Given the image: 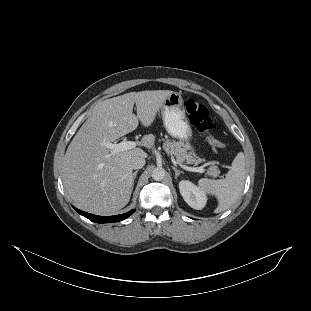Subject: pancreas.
<instances>
[{
	"mask_svg": "<svg viewBox=\"0 0 311 311\" xmlns=\"http://www.w3.org/2000/svg\"><path fill=\"white\" fill-rule=\"evenodd\" d=\"M163 149L167 152L168 155L175 158L177 162L182 164H193L198 165L203 162L202 158L193 157L188 152V147L183 142H171L165 141L163 143ZM207 175L217 176L219 174L215 166H211L206 172Z\"/></svg>",
	"mask_w": 311,
	"mask_h": 311,
	"instance_id": "obj_1",
	"label": "pancreas"
}]
</instances>
